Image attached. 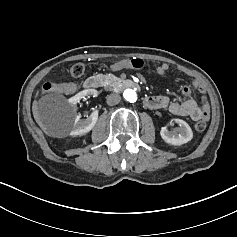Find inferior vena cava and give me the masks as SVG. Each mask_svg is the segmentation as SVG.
<instances>
[{
	"instance_id": "obj_1",
	"label": "inferior vena cava",
	"mask_w": 237,
	"mask_h": 237,
	"mask_svg": "<svg viewBox=\"0 0 237 237\" xmlns=\"http://www.w3.org/2000/svg\"><path fill=\"white\" fill-rule=\"evenodd\" d=\"M121 101V97L118 94L112 93L107 96V104L113 106L118 104Z\"/></svg>"
}]
</instances>
